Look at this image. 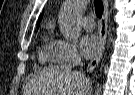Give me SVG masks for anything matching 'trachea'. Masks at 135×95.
Listing matches in <instances>:
<instances>
[{
	"mask_svg": "<svg viewBox=\"0 0 135 95\" xmlns=\"http://www.w3.org/2000/svg\"><path fill=\"white\" fill-rule=\"evenodd\" d=\"M94 5H95L96 16L98 18H101L102 14H103V3H102V1L101 0H95Z\"/></svg>",
	"mask_w": 135,
	"mask_h": 95,
	"instance_id": "1",
	"label": "trachea"
}]
</instances>
